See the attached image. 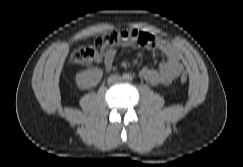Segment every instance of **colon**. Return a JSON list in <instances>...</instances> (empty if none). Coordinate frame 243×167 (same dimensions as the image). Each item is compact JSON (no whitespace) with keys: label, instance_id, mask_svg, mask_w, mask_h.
<instances>
[{"label":"colon","instance_id":"obj_1","mask_svg":"<svg viewBox=\"0 0 243 167\" xmlns=\"http://www.w3.org/2000/svg\"><path fill=\"white\" fill-rule=\"evenodd\" d=\"M127 38L125 31L111 30L96 37L94 46H85L76 50L71 58L70 64L76 67L88 66L101 61L100 50L115 47ZM180 81L186 83L188 75L181 74Z\"/></svg>","mask_w":243,"mask_h":167}]
</instances>
